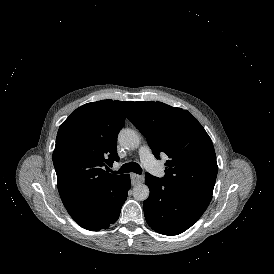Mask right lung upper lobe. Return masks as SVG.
<instances>
[{
  "label": "right lung upper lobe",
  "mask_w": 274,
  "mask_h": 274,
  "mask_svg": "<svg viewBox=\"0 0 274 274\" xmlns=\"http://www.w3.org/2000/svg\"><path fill=\"white\" fill-rule=\"evenodd\" d=\"M131 101L101 100L76 109L60 126L53 152L58 190L70 215L91 208L124 175L103 168L118 161L117 136Z\"/></svg>",
  "instance_id": "right-lung-upper-lobe-1"
}]
</instances>
